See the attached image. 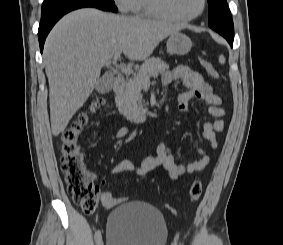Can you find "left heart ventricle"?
<instances>
[{"mask_svg": "<svg viewBox=\"0 0 283 245\" xmlns=\"http://www.w3.org/2000/svg\"><path fill=\"white\" fill-rule=\"evenodd\" d=\"M168 11L177 17H189L201 7V0H165Z\"/></svg>", "mask_w": 283, "mask_h": 245, "instance_id": "left-heart-ventricle-1", "label": "left heart ventricle"}]
</instances>
